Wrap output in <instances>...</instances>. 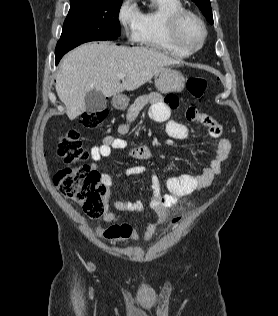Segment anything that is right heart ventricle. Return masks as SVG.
<instances>
[{"label":"right heart ventricle","instance_id":"e07e8e85","mask_svg":"<svg viewBox=\"0 0 278 316\" xmlns=\"http://www.w3.org/2000/svg\"><path fill=\"white\" fill-rule=\"evenodd\" d=\"M152 9L141 13L137 42L173 57L186 58L191 52L181 47L170 28L171 16L184 9L182 0H151Z\"/></svg>","mask_w":278,"mask_h":316}]
</instances>
